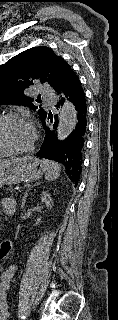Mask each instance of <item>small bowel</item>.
<instances>
[{"instance_id":"small-bowel-1","label":"small bowel","mask_w":118,"mask_h":320,"mask_svg":"<svg viewBox=\"0 0 118 320\" xmlns=\"http://www.w3.org/2000/svg\"><path fill=\"white\" fill-rule=\"evenodd\" d=\"M14 200L11 197H3L1 199L2 205V213L3 214H10L14 208ZM1 250H3L1 244ZM11 249V242L10 247L7 251ZM17 266L12 265L9 268L5 269L0 274V320H7L10 314V303L8 300L7 292L10 288L12 279L16 273Z\"/></svg>"}]
</instances>
